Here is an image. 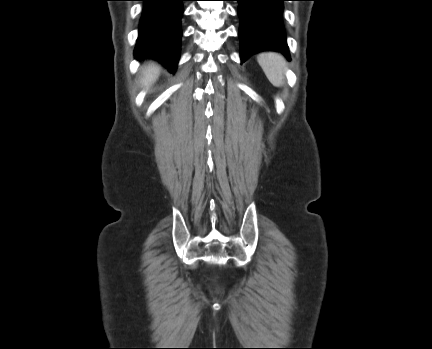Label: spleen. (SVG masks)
Masks as SVG:
<instances>
[{
  "instance_id": "obj_1",
  "label": "spleen",
  "mask_w": 432,
  "mask_h": 349,
  "mask_svg": "<svg viewBox=\"0 0 432 349\" xmlns=\"http://www.w3.org/2000/svg\"><path fill=\"white\" fill-rule=\"evenodd\" d=\"M257 61L273 86L283 85L287 62L282 55L275 52H264L258 55Z\"/></svg>"
}]
</instances>
